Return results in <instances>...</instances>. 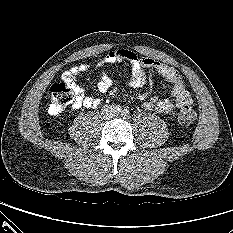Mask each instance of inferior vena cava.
<instances>
[{
  "mask_svg": "<svg viewBox=\"0 0 233 233\" xmlns=\"http://www.w3.org/2000/svg\"><path fill=\"white\" fill-rule=\"evenodd\" d=\"M111 117H112V115H109V116H108V118H111Z\"/></svg>",
  "mask_w": 233,
  "mask_h": 233,
  "instance_id": "obj_1",
  "label": "inferior vena cava"
}]
</instances>
